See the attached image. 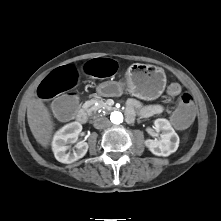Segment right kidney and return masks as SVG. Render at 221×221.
Instances as JSON below:
<instances>
[{"mask_svg":"<svg viewBox=\"0 0 221 221\" xmlns=\"http://www.w3.org/2000/svg\"><path fill=\"white\" fill-rule=\"evenodd\" d=\"M81 131L82 125L78 122H72L66 124L55 133L52 141V150L59 162L70 164L85 156L89 146L84 141L77 142L75 149L72 152H67L70 149V144L75 142Z\"/></svg>","mask_w":221,"mask_h":221,"instance_id":"right-kidney-1","label":"right kidney"}]
</instances>
